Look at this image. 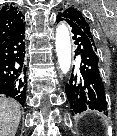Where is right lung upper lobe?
I'll use <instances>...</instances> for the list:
<instances>
[{
  "mask_svg": "<svg viewBox=\"0 0 117 136\" xmlns=\"http://www.w3.org/2000/svg\"><path fill=\"white\" fill-rule=\"evenodd\" d=\"M23 14L14 6H3L0 10V44L22 23Z\"/></svg>",
  "mask_w": 117,
  "mask_h": 136,
  "instance_id": "obj_1",
  "label": "right lung upper lobe"
}]
</instances>
